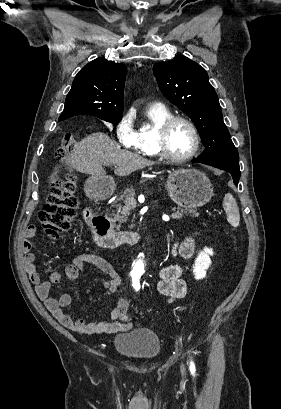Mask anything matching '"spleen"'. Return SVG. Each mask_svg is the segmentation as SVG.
Wrapping results in <instances>:
<instances>
[{"instance_id": "1", "label": "spleen", "mask_w": 281, "mask_h": 409, "mask_svg": "<svg viewBox=\"0 0 281 409\" xmlns=\"http://www.w3.org/2000/svg\"><path fill=\"white\" fill-rule=\"evenodd\" d=\"M223 209L226 211L228 223H230L232 227H239L240 213L237 202L231 192H227L224 196Z\"/></svg>"}]
</instances>
